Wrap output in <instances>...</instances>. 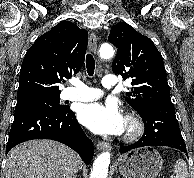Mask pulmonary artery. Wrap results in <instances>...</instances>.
<instances>
[{"instance_id": "obj_1", "label": "pulmonary artery", "mask_w": 194, "mask_h": 178, "mask_svg": "<svg viewBox=\"0 0 194 178\" xmlns=\"http://www.w3.org/2000/svg\"><path fill=\"white\" fill-rule=\"evenodd\" d=\"M101 84L104 88H113L116 85L115 77L106 75L102 78ZM101 96V90L89 87L82 82H75L74 87L67 89L64 93V99L79 102L93 101Z\"/></svg>"}]
</instances>
